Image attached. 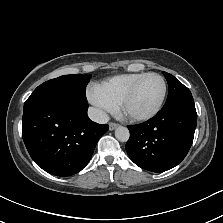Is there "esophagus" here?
<instances>
[{
    "label": "esophagus",
    "mask_w": 223,
    "mask_h": 223,
    "mask_svg": "<svg viewBox=\"0 0 223 223\" xmlns=\"http://www.w3.org/2000/svg\"><path fill=\"white\" fill-rule=\"evenodd\" d=\"M118 126H119V124L111 122V123H109V130L113 131Z\"/></svg>",
    "instance_id": "1"
}]
</instances>
